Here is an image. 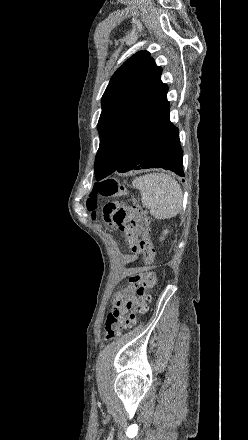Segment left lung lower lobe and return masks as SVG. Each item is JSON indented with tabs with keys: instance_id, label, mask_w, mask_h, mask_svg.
<instances>
[{
	"instance_id": "left-lung-lower-lobe-1",
	"label": "left lung lower lobe",
	"mask_w": 248,
	"mask_h": 440,
	"mask_svg": "<svg viewBox=\"0 0 248 440\" xmlns=\"http://www.w3.org/2000/svg\"><path fill=\"white\" fill-rule=\"evenodd\" d=\"M182 157L178 128L168 118L159 128L134 145L115 171L123 173L163 168L184 176Z\"/></svg>"
}]
</instances>
